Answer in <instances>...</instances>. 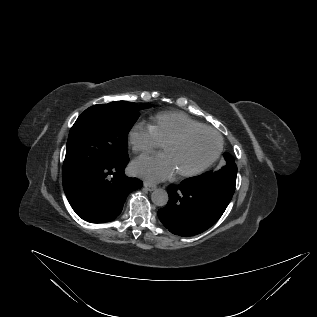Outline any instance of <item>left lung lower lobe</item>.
I'll return each instance as SVG.
<instances>
[{
  "instance_id": "left-lung-lower-lobe-1",
  "label": "left lung lower lobe",
  "mask_w": 317,
  "mask_h": 317,
  "mask_svg": "<svg viewBox=\"0 0 317 317\" xmlns=\"http://www.w3.org/2000/svg\"><path fill=\"white\" fill-rule=\"evenodd\" d=\"M168 204L158 211L163 225L173 234L197 235L215 224L227 208L235 183L201 176L170 185Z\"/></svg>"
}]
</instances>
